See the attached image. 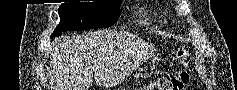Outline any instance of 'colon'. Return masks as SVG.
I'll return each instance as SVG.
<instances>
[{
	"label": "colon",
	"mask_w": 237,
	"mask_h": 90,
	"mask_svg": "<svg viewBox=\"0 0 237 90\" xmlns=\"http://www.w3.org/2000/svg\"><path fill=\"white\" fill-rule=\"evenodd\" d=\"M179 69L166 76L159 77L148 85L138 90H182L190 79L189 74V53L180 48L177 51Z\"/></svg>",
	"instance_id": "obj_1"
}]
</instances>
